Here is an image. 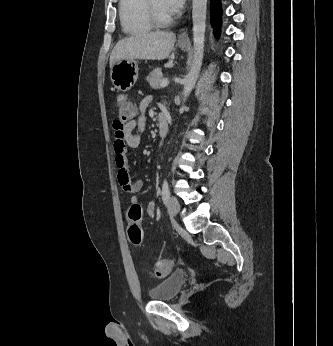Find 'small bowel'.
I'll return each instance as SVG.
<instances>
[{"label": "small bowel", "instance_id": "1", "mask_svg": "<svg viewBox=\"0 0 333 346\" xmlns=\"http://www.w3.org/2000/svg\"><path fill=\"white\" fill-rule=\"evenodd\" d=\"M151 101L150 97L144 98L139 104V115L126 123H122L119 120H115L113 125L114 130V150H115V162L118 166V182L122 189L131 196V204H138L137 194L142 189V182L140 180H132L130 177V165L127 160V148H137L141 142V136L145 130L146 117L145 111ZM160 115L166 116L165 112H161ZM137 129L136 133L133 130ZM157 205L155 202H150L145 213L147 216L152 217L156 214Z\"/></svg>", "mask_w": 333, "mask_h": 346}]
</instances>
